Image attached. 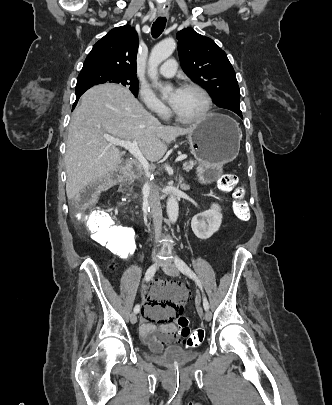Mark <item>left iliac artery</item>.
<instances>
[{
    "mask_svg": "<svg viewBox=\"0 0 332 405\" xmlns=\"http://www.w3.org/2000/svg\"><path fill=\"white\" fill-rule=\"evenodd\" d=\"M174 262H175L176 267L183 274L187 275L189 278L193 279L196 282V284L199 286V288L201 289V291L203 293L201 282L198 279V277L196 276V274L190 269V267L178 256H175ZM203 307L205 310H208L210 307L209 302H208L206 296L204 295V293H203Z\"/></svg>",
    "mask_w": 332,
    "mask_h": 405,
    "instance_id": "obj_1",
    "label": "left iliac artery"
}]
</instances>
